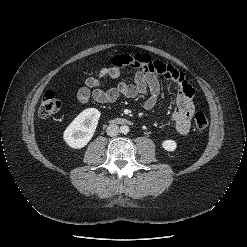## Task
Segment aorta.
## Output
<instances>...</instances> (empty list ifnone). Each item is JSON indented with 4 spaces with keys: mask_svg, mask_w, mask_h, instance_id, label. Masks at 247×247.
<instances>
[{
    "mask_svg": "<svg viewBox=\"0 0 247 247\" xmlns=\"http://www.w3.org/2000/svg\"><path fill=\"white\" fill-rule=\"evenodd\" d=\"M120 132H121L122 134H127V133L129 132V126H127V125L121 126V127H120Z\"/></svg>",
    "mask_w": 247,
    "mask_h": 247,
    "instance_id": "obj_1",
    "label": "aorta"
}]
</instances>
